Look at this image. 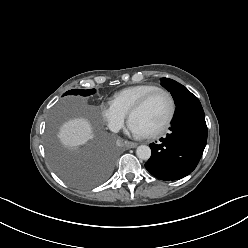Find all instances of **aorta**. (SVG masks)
Instances as JSON below:
<instances>
[{"label":"aorta","instance_id":"1","mask_svg":"<svg viewBox=\"0 0 248 248\" xmlns=\"http://www.w3.org/2000/svg\"><path fill=\"white\" fill-rule=\"evenodd\" d=\"M136 155L139 159L148 160L151 156V149L147 145H140L136 149Z\"/></svg>","mask_w":248,"mask_h":248}]
</instances>
